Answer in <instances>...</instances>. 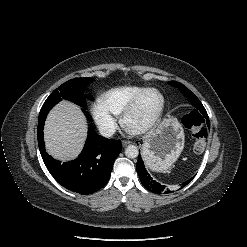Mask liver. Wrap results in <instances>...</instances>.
<instances>
[{
    "instance_id": "obj_1",
    "label": "liver",
    "mask_w": 247,
    "mask_h": 247,
    "mask_svg": "<svg viewBox=\"0 0 247 247\" xmlns=\"http://www.w3.org/2000/svg\"><path fill=\"white\" fill-rule=\"evenodd\" d=\"M86 132L87 123L80 108L69 101H62L47 117L44 129L46 149L55 159H74L82 150Z\"/></svg>"
}]
</instances>
